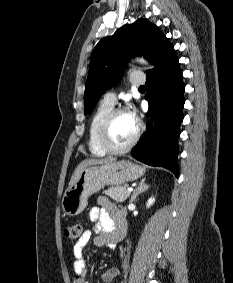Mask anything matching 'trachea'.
Wrapping results in <instances>:
<instances>
[{
    "label": "trachea",
    "instance_id": "3493384b",
    "mask_svg": "<svg viewBox=\"0 0 233 283\" xmlns=\"http://www.w3.org/2000/svg\"><path fill=\"white\" fill-rule=\"evenodd\" d=\"M139 89H145V86H140Z\"/></svg>",
    "mask_w": 233,
    "mask_h": 283
}]
</instances>
